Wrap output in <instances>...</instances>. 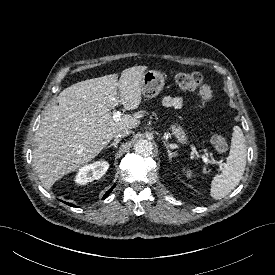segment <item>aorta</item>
<instances>
[{
  "label": "aorta",
  "mask_w": 275,
  "mask_h": 275,
  "mask_svg": "<svg viewBox=\"0 0 275 275\" xmlns=\"http://www.w3.org/2000/svg\"><path fill=\"white\" fill-rule=\"evenodd\" d=\"M134 150L138 155L148 156L153 151V144L149 140L141 139L134 145Z\"/></svg>",
  "instance_id": "762f6f07"
}]
</instances>
